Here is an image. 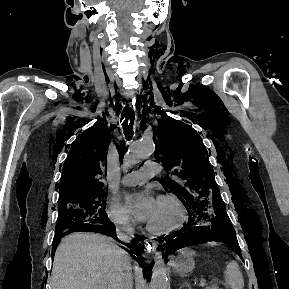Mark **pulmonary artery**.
I'll use <instances>...</instances> for the list:
<instances>
[{"instance_id": "e3ab8cb5", "label": "pulmonary artery", "mask_w": 289, "mask_h": 289, "mask_svg": "<svg viewBox=\"0 0 289 289\" xmlns=\"http://www.w3.org/2000/svg\"><path fill=\"white\" fill-rule=\"evenodd\" d=\"M161 166L155 161H147L139 170L126 174L121 182L127 186H136L145 183L157 175Z\"/></svg>"}]
</instances>
